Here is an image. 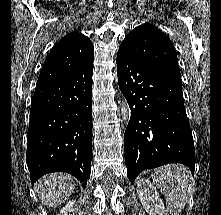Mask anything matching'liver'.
<instances>
[{"label": "liver", "instance_id": "1", "mask_svg": "<svg viewBox=\"0 0 221 215\" xmlns=\"http://www.w3.org/2000/svg\"><path fill=\"white\" fill-rule=\"evenodd\" d=\"M75 182L72 176L64 173H53L41 177L35 191L42 203L49 208L57 207L74 192Z\"/></svg>", "mask_w": 221, "mask_h": 215}]
</instances>
